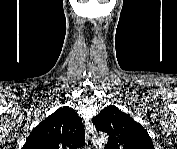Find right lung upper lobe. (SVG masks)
Segmentation results:
<instances>
[{
  "label": "right lung upper lobe",
  "mask_w": 177,
  "mask_h": 149,
  "mask_svg": "<svg viewBox=\"0 0 177 149\" xmlns=\"http://www.w3.org/2000/svg\"><path fill=\"white\" fill-rule=\"evenodd\" d=\"M85 145V129L75 111L64 106L43 120L28 136L25 149H77Z\"/></svg>",
  "instance_id": "1"
}]
</instances>
